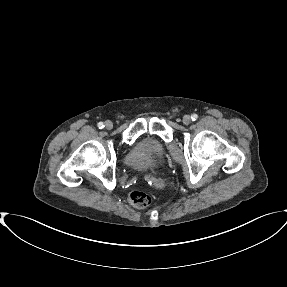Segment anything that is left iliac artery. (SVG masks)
Listing matches in <instances>:
<instances>
[{"instance_id":"44dca946","label":"left iliac artery","mask_w":287,"mask_h":287,"mask_svg":"<svg viewBox=\"0 0 287 287\" xmlns=\"http://www.w3.org/2000/svg\"><path fill=\"white\" fill-rule=\"evenodd\" d=\"M197 118H198V115H197V114H192V116H191L192 121L197 120Z\"/></svg>"}]
</instances>
